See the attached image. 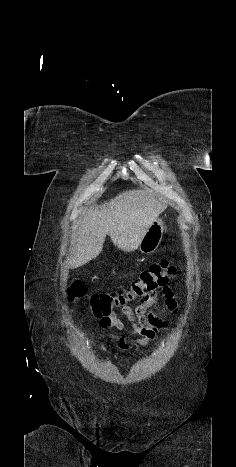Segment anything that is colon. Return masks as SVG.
Segmentation results:
<instances>
[{"mask_svg":"<svg viewBox=\"0 0 236 467\" xmlns=\"http://www.w3.org/2000/svg\"><path fill=\"white\" fill-rule=\"evenodd\" d=\"M174 273L175 266L172 260L164 258L143 270L138 279L132 281L127 289L118 293L105 292L92 295H87L83 282L76 280L68 287L67 300L69 302L80 300L91 309L95 316L105 317L130 302L141 300L151 293L163 289L168 283L169 277Z\"/></svg>","mask_w":236,"mask_h":467,"instance_id":"obj_1","label":"colon"}]
</instances>
